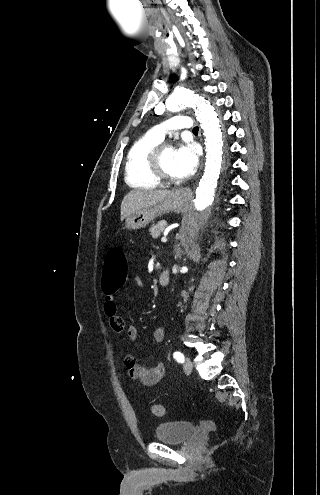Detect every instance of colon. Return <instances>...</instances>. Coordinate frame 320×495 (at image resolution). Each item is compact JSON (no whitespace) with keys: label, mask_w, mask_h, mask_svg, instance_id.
Segmentation results:
<instances>
[{"label":"colon","mask_w":320,"mask_h":495,"mask_svg":"<svg viewBox=\"0 0 320 495\" xmlns=\"http://www.w3.org/2000/svg\"><path fill=\"white\" fill-rule=\"evenodd\" d=\"M128 274V261L125 252L120 248H112L108 251L102 276V285L105 292H114L121 287ZM152 412L156 416L164 415V407L161 404H154Z\"/></svg>","instance_id":"1"}]
</instances>
